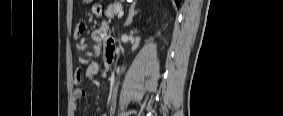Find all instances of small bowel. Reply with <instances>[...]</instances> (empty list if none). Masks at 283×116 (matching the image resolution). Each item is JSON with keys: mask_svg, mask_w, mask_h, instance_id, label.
I'll return each mask as SVG.
<instances>
[{"mask_svg": "<svg viewBox=\"0 0 283 116\" xmlns=\"http://www.w3.org/2000/svg\"><path fill=\"white\" fill-rule=\"evenodd\" d=\"M94 15L100 17L102 15V8L100 5L96 4L92 8ZM85 31L83 25L79 26L75 32L76 38H81L82 34ZM92 39L96 42H104L106 44L105 60L108 61V58H113L115 53V42L109 37L108 25L103 22L99 28L95 29L92 32ZM79 49L83 48V44L78 45ZM79 62L81 65H85V68L79 67L76 69L74 74V84L75 89L73 92L74 98L76 100L83 99L87 96V91L79 87L84 78H93L98 75H105L107 72L106 64L102 65L97 61L87 62L84 58H80ZM109 62V61H108Z\"/></svg>", "mask_w": 283, "mask_h": 116, "instance_id": "1", "label": "small bowel"}]
</instances>
